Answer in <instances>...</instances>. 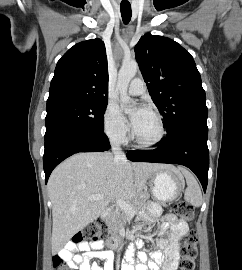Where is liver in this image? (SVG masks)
<instances>
[{"mask_svg":"<svg viewBox=\"0 0 242 270\" xmlns=\"http://www.w3.org/2000/svg\"><path fill=\"white\" fill-rule=\"evenodd\" d=\"M171 165L130 163L111 153H78L52 172L48 194L52 203V251L58 252L70 239L95 221L111 201H131L142 193L151 175ZM102 194L101 200H89Z\"/></svg>","mask_w":242,"mask_h":270,"instance_id":"6515ba94","label":"liver"}]
</instances>
